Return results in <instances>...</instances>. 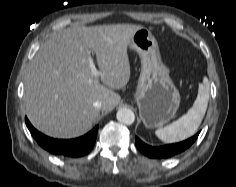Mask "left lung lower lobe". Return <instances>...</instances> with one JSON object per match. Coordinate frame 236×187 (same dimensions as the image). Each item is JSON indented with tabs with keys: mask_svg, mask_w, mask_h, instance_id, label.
I'll return each mask as SVG.
<instances>
[{
	"mask_svg": "<svg viewBox=\"0 0 236 187\" xmlns=\"http://www.w3.org/2000/svg\"><path fill=\"white\" fill-rule=\"evenodd\" d=\"M197 137L198 134L194 135L193 137L185 141L159 147L149 146L145 144L143 141H141L138 137H136V146L141 153L148 156L149 158H155V159L169 158L185 151L194 143Z\"/></svg>",
	"mask_w": 236,
	"mask_h": 187,
	"instance_id": "obj_1",
	"label": "left lung lower lobe"
}]
</instances>
